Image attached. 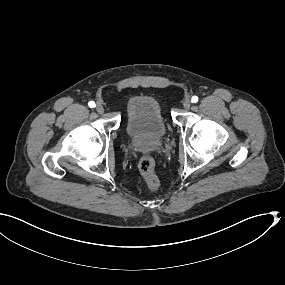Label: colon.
Wrapping results in <instances>:
<instances>
[{"mask_svg": "<svg viewBox=\"0 0 285 285\" xmlns=\"http://www.w3.org/2000/svg\"><path fill=\"white\" fill-rule=\"evenodd\" d=\"M139 170L150 190H156L159 179L155 172V160L151 156H144L139 162Z\"/></svg>", "mask_w": 285, "mask_h": 285, "instance_id": "colon-1", "label": "colon"}]
</instances>
